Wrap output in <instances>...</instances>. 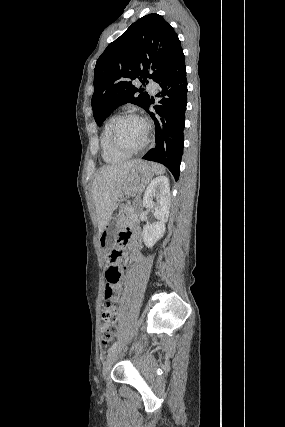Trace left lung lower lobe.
Here are the masks:
<instances>
[{"label":"left lung lower lobe","mask_w":285,"mask_h":427,"mask_svg":"<svg viewBox=\"0 0 285 427\" xmlns=\"http://www.w3.org/2000/svg\"><path fill=\"white\" fill-rule=\"evenodd\" d=\"M160 90V105L149 111L152 100L146 107L155 123V145L142 159L165 165L179 179L180 163L184 147L185 110L187 105V79L183 50L179 52L170 68L156 81Z\"/></svg>","instance_id":"0a47b994"}]
</instances>
